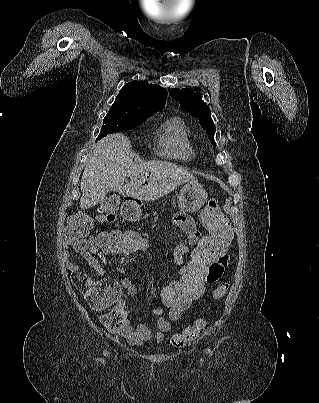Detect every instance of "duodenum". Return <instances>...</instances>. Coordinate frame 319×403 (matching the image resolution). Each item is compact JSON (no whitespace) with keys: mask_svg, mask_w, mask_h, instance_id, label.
Returning <instances> with one entry per match:
<instances>
[{"mask_svg":"<svg viewBox=\"0 0 319 403\" xmlns=\"http://www.w3.org/2000/svg\"><path fill=\"white\" fill-rule=\"evenodd\" d=\"M137 207H138V204L135 201H133V202H125L123 204V206H122V214L126 218H131L135 214V211H136Z\"/></svg>","mask_w":319,"mask_h":403,"instance_id":"1","label":"duodenum"}]
</instances>
